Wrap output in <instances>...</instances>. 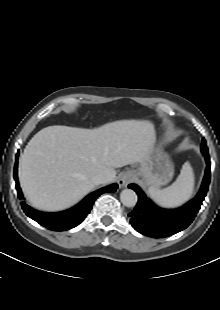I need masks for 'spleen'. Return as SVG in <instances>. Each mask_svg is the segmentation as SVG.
Listing matches in <instances>:
<instances>
[{"mask_svg":"<svg viewBox=\"0 0 220 310\" xmlns=\"http://www.w3.org/2000/svg\"><path fill=\"white\" fill-rule=\"evenodd\" d=\"M194 190V174L188 162L182 166L180 175L176 181L165 189L151 187L148 190L149 196L159 206L174 208L182 205L190 199Z\"/></svg>","mask_w":220,"mask_h":310,"instance_id":"1","label":"spleen"}]
</instances>
